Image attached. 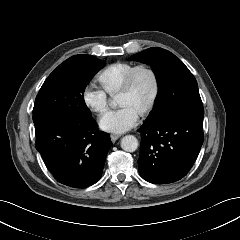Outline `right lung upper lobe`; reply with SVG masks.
<instances>
[{"label": "right lung upper lobe", "instance_id": "1", "mask_svg": "<svg viewBox=\"0 0 240 240\" xmlns=\"http://www.w3.org/2000/svg\"><path fill=\"white\" fill-rule=\"evenodd\" d=\"M91 55H85V54H80V55H75L73 57H70L69 59L67 60H76V59H83V58H88L90 57Z\"/></svg>", "mask_w": 240, "mask_h": 240}]
</instances>
